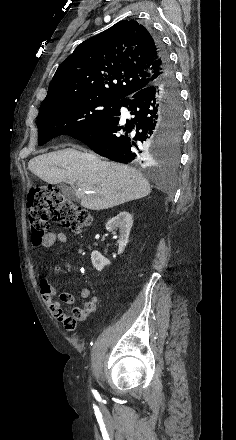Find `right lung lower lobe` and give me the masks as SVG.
Segmentation results:
<instances>
[{
    "label": "right lung lower lobe",
    "mask_w": 236,
    "mask_h": 440,
    "mask_svg": "<svg viewBox=\"0 0 236 440\" xmlns=\"http://www.w3.org/2000/svg\"><path fill=\"white\" fill-rule=\"evenodd\" d=\"M161 63V77L120 101L116 111L103 122L72 135L82 141L97 154L122 163L136 162L149 164L151 156L145 147L151 143L158 146L165 129L182 125L179 91L168 54L161 40L153 36ZM126 107L132 117H121L120 108Z\"/></svg>",
    "instance_id": "1"
}]
</instances>
